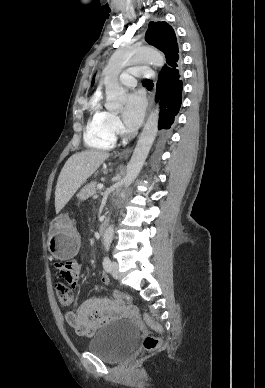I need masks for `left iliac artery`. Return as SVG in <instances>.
I'll return each mask as SVG.
<instances>
[{"label": "left iliac artery", "mask_w": 265, "mask_h": 388, "mask_svg": "<svg viewBox=\"0 0 265 388\" xmlns=\"http://www.w3.org/2000/svg\"><path fill=\"white\" fill-rule=\"evenodd\" d=\"M108 250H109V247L106 246V251H108ZM103 267H104V269H105L107 272H110L111 269H112V262H111V260H110V258H109L108 255L105 256L104 259H103Z\"/></svg>", "instance_id": "44dca946"}]
</instances>
